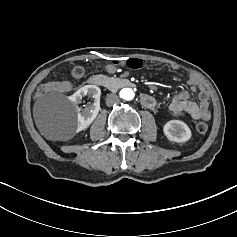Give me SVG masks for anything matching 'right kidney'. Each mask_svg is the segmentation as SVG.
I'll return each mask as SVG.
<instances>
[{"label": "right kidney", "instance_id": "1", "mask_svg": "<svg viewBox=\"0 0 237 237\" xmlns=\"http://www.w3.org/2000/svg\"><path fill=\"white\" fill-rule=\"evenodd\" d=\"M100 95L101 90L96 85H85L78 89L73 95L69 97L77 107V132H80L94 121L100 110ZM88 96L93 98V103H88L84 109H80L78 104L81 103L82 98Z\"/></svg>", "mask_w": 237, "mask_h": 237}]
</instances>
